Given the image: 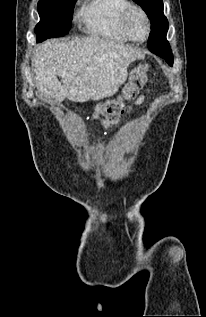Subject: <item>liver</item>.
<instances>
[{
  "instance_id": "obj_1",
  "label": "liver",
  "mask_w": 206,
  "mask_h": 317,
  "mask_svg": "<svg viewBox=\"0 0 206 317\" xmlns=\"http://www.w3.org/2000/svg\"><path fill=\"white\" fill-rule=\"evenodd\" d=\"M144 57L139 49L100 37L51 39L36 47L32 66L41 94L58 102H86L117 93L128 66Z\"/></svg>"
}]
</instances>
